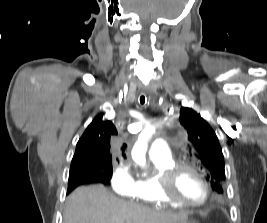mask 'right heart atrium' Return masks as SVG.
Segmentation results:
<instances>
[{
	"label": "right heart atrium",
	"instance_id": "right-heart-atrium-1",
	"mask_svg": "<svg viewBox=\"0 0 267 223\" xmlns=\"http://www.w3.org/2000/svg\"><path fill=\"white\" fill-rule=\"evenodd\" d=\"M111 188L120 195L129 194L134 185V178L130 166L126 162L119 163L112 172Z\"/></svg>",
	"mask_w": 267,
	"mask_h": 223
}]
</instances>
